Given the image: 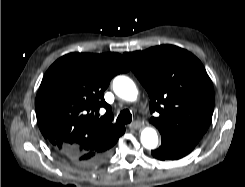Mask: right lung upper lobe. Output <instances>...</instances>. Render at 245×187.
<instances>
[{
    "mask_svg": "<svg viewBox=\"0 0 245 187\" xmlns=\"http://www.w3.org/2000/svg\"><path fill=\"white\" fill-rule=\"evenodd\" d=\"M129 71L118 53H70L45 73L35 111L40 131L55 152L94 147L93 139L112 141L125 129L111 122V107L103 97L110 80ZM100 108L107 110L98 118Z\"/></svg>",
    "mask_w": 245,
    "mask_h": 187,
    "instance_id": "cb5924a9",
    "label": "right lung upper lobe"
}]
</instances>
